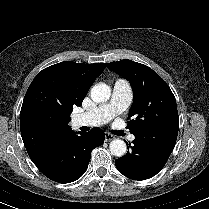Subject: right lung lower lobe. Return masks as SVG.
Instances as JSON below:
<instances>
[{
	"label": "right lung lower lobe",
	"instance_id": "right-lung-lower-lobe-1",
	"mask_svg": "<svg viewBox=\"0 0 209 209\" xmlns=\"http://www.w3.org/2000/svg\"><path fill=\"white\" fill-rule=\"evenodd\" d=\"M79 134L71 131L33 161L46 177L59 183H70L86 172L92 149L101 146L105 136L100 128Z\"/></svg>",
	"mask_w": 209,
	"mask_h": 209
}]
</instances>
